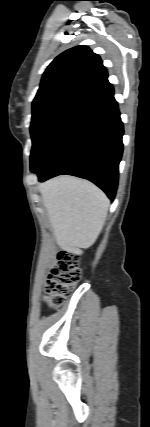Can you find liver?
Here are the masks:
<instances>
[{
    "mask_svg": "<svg viewBox=\"0 0 150 427\" xmlns=\"http://www.w3.org/2000/svg\"><path fill=\"white\" fill-rule=\"evenodd\" d=\"M56 242L79 253L98 238L109 208L105 193L89 181L60 176L39 185Z\"/></svg>",
    "mask_w": 150,
    "mask_h": 427,
    "instance_id": "obj_1",
    "label": "liver"
}]
</instances>
